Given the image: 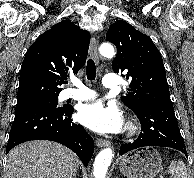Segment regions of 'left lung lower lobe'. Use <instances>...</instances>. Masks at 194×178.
Instances as JSON below:
<instances>
[{
  "label": "left lung lower lobe",
  "mask_w": 194,
  "mask_h": 178,
  "mask_svg": "<svg viewBox=\"0 0 194 178\" xmlns=\"http://www.w3.org/2000/svg\"><path fill=\"white\" fill-rule=\"evenodd\" d=\"M134 113L141 122L142 132L134 142L121 145L120 155L147 146H162L187 156L171 100L139 103Z\"/></svg>",
  "instance_id": "obj_1"
}]
</instances>
